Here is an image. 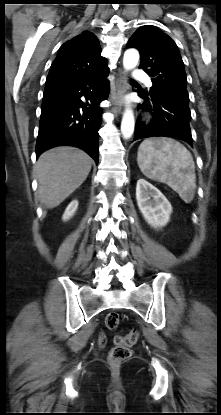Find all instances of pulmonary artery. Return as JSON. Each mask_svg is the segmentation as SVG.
Listing matches in <instances>:
<instances>
[{
  "instance_id": "e3ab8cb5",
  "label": "pulmonary artery",
  "mask_w": 221,
  "mask_h": 415,
  "mask_svg": "<svg viewBox=\"0 0 221 415\" xmlns=\"http://www.w3.org/2000/svg\"><path fill=\"white\" fill-rule=\"evenodd\" d=\"M133 76L136 80L144 82L148 87L152 86L149 76L144 71L135 70Z\"/></svg>"
}]
</instances>
